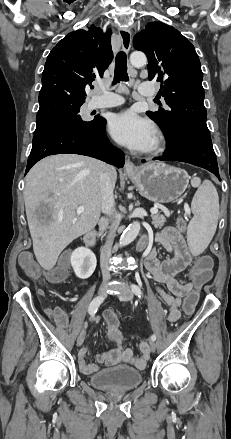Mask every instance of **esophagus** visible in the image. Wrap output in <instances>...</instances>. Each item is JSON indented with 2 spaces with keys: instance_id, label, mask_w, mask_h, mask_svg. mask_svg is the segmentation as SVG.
<instances>
[{
  "instance_id": "esophagus-1",
  "label": "esophagus",
  "mask_w": 231,
  "mask_h": 439,
  "mask_svg": "<svg viewBox=\"0 0 231 439\" xmlns=\"http://www.w3.org/2000/svg\"><path fill=\"white\" fill-rule=\"evenodd\" d=\"M119 36L122 42L123 50L128 53L131 48V31L128 28L121 27L119 28ZM124 171L127 173L136 171L135 165L130 161L129 158H126Z\"/></svg>"
}]
</instances>
